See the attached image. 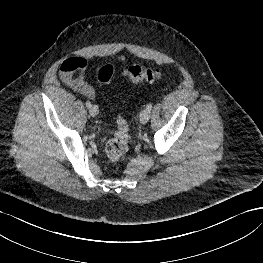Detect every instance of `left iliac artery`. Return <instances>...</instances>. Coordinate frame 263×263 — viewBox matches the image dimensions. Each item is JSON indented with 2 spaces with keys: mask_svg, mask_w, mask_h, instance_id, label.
<instances>
[{
  "mask_svg": "<svg viewBox=\"0 0 263 263\" xmlns=\"http://www.w3.org/2000/svg\"><path fill=\"white\" fill-rule=\"evenodd\" d=\"M146 108H147L148 110H151V109H152V104L149 103V104L146 106Z\"/></svg>",
  "mask_w": 263,
  "mask_h": 263,
  "instance_id": "obj_1",
  "label": "left iliac artery"
}]
</instances>
